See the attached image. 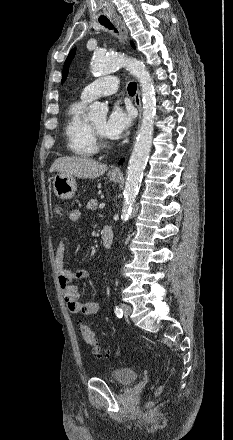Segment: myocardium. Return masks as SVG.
I'll return each instance as SVG.
<instances>
[{
	"mask_svg": "<svg viewBox=\"0 0 233 440\" xmlns=\"http://www.w3.org/2000/svg\"><path fill=\"white\" fill-rule=\"evenodd\" d=\"M90 130L96 140L98 147L107 148L110 145V142L106 135L101 133L92 123L89 124Z\"/></svg>",
	"mask_w": 233,
	"mask_h": 440,
	"instance_id": "myocardium-1",
	"label": "myocardium"
}]
</instances>
